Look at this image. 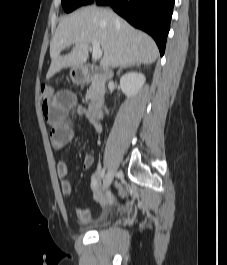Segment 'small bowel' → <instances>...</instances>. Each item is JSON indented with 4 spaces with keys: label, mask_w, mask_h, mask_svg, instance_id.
Wrapping results in <instances>:
<instances>
[{
    "label": "small bowel",
    "mask_w": 227,
    "mask_h": 265,
    "mask_svg": "<svg viewBox=\"0 0 227 265\" xmlns=\"http://www.w3.org/2000/svg\"><path fill=\"white\" fill-rule=\"evenodd\" d=\"M76 107L79 116L87 118L97 134H101L103 129L101 124L90 114V112L78 104L76 96H72V91H58V94L51 102H42V111L44 118L50 125V141L55 149H61L74 138V129L68 120V113L72 107ZM94 158L86 156L83 167L88 169L92 166ZM57 176L60 181L61 191L65 196L72 192V185L68 179L69 168L66 162L59 161L56 167ZM91 188L94 197L100 200L99 194V172L94 173L91 181ZM77 217L83 223L92 221V214L85 208L76 209Z\"/></svg>",
    "instance_id": "obj_1"
}]
</instances>
